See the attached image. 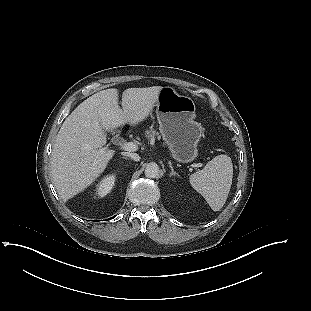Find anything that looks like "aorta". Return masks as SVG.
<instances>
[{
	"label": "aorta",
	"instance_id": "1",
	"mask_svg": "<svg viewBox=\"0 0 311 311\" xmlns=\"http://www.w3.org/2000/svg\"><path fill=\"white\" fill-rule=\"evenodd\" d=\"M144 173L147 178H157L160 173L158 164L154 162L148 163Z\"/></svg>",
	"mask_w": 311,
	"mask_h": 311
}]
</instances>
